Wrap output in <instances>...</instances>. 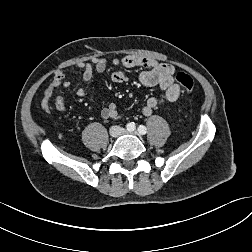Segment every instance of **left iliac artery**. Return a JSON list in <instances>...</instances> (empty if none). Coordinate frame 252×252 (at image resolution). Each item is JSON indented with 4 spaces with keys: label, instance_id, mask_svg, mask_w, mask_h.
<instances>
[{
    "label": "left iliac artery",
    "instance_id": "44dca946",
    "mask_svg": "<svg viewBox=\"0 0 252 252\" xmlns=\"http://www.w3.org/2000/svg\"><path fill=\"white\" fill-rule=\"evenodd\" d=\"M138 132L142 135L146 134L147 133V128L144 126V125H140L138 127Z\"/></svg>",
    "mask_w": 252,
    "mask_h": 252
}]
</instances>
